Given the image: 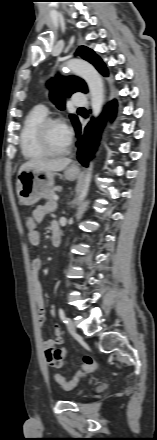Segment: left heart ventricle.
Returning a JSON list of instances; mask_svg holds the SVG:
<instances>
[{
	"mask_svg": "<svg viewBox=\"0 0 157 440\" xmlns=\"http://www.w3.org/2000/svg\"><path fill=\"white\" fill-rule=\"evenodd\" d=\"M50 146L55 150H61L68 146L69 140L65 136L61 124H53L47 131Z\"/></svg>",
	"mask_w": 157,
	"mask_h": 440,
	"instance_id": "1",
	"label": "left heart ventricle"
}]
</instances>
